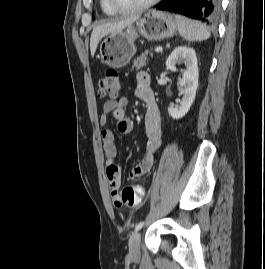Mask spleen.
<instances>
[{"mask_svg": "<svg viewBox=\"0 0 265 269\" xmlns=\"http://www.w3.org/2000/svg\"><path fill=\"white\" fill-rule=\"evenodd\" d=\"M175 21L180 36L187 41H204L211 35L207 26L198 21L179 14L175 15Z\"/></svg>", "mask_w": 265, "mask_h": 269, "instance_id": "obj_1", "label": "spleen"}]
</instances>
